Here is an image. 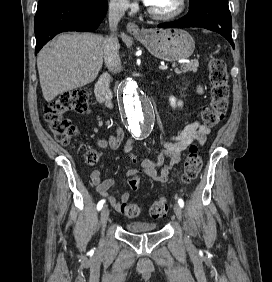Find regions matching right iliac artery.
Listing matches in <instances>:
<instances>
[{"mask_svg": "<svg viewBox=\"0 0 272 282\" xmlns=\"http://www.w3.org/2000/svg\"><path fill=\"white\" fill-rule=\"evenodd\" d=\"M104 203H105V200H104V199H102L101 201H99L98 204H97V210H101L102 207H103V205H104Z\"/></svg>", "mask_w": 272, "mask_h": 282, "instance_id": "obj_1", "label": "right iliac artery"}]
</instances>
